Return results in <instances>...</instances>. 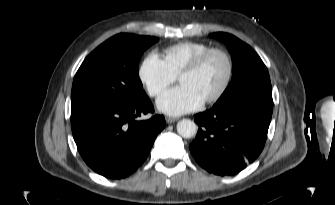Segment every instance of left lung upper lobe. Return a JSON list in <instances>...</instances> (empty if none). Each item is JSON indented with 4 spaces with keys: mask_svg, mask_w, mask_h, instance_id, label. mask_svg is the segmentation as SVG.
Segmentation results:
<instances>
[{
    "mask_svg": "<svg viewBox=\"0 0 335 205\" xmlns=\"http://www.w3.org/2000/svg\"><path fill=\"white\" fill-rule=\"evenodd\" d=\"M210 36L226 44L233 63L232 80L214 106L242 99L257 100L273 106L268 70L258 54L231 34L218 32Z\"/></svg>",
    "mask_w": 335,
    "mask_h": 205,
    "instance_id": "5c2ea615",
    "label": "left lung upper lobe"
}]
</instances>
